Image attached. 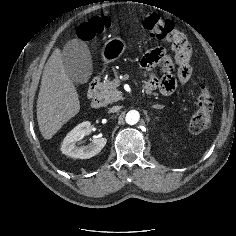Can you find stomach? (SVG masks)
Here are the masks:
<instances>
[{"label": "stomach", "mask_w": 236, "mask_h": 236, "mask_svg": "<svg viewBox=\"0 0 236 236\" xmlns=\"http://www.w3.org/2000/svg\"><path fill=\"white\" fill-rule=\"evenodd\" d=\"M126 49L125 42L120 37L109 39L103 46L102 57L105 63H111L121 57Z\"/></svg>", "instance_id": "1"}]
</instances>
